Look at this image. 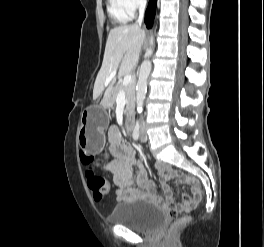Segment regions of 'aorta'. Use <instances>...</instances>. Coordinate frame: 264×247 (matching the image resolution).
<instances>
[{
	"label": "aorta",
	"mask_w": 264,
	"mask_h": 247,
	"mask_svg": "<svg viewBox=\"0 0 264 247\" xmlns=\"http://www.w3.org/2000/svg\"><path fill=\"white\" fill-rule=\"evenodd\" d=\"M154 46V38L151 36L150 38V47L146 51L147 59L144 60L141 64L139 77L136 85V104L138 113L142 112L143 104L147 91V80L151 71V61L150 57L153 54Z\"/></svg>",
	"instance_id": "1"
}]
</instances>
